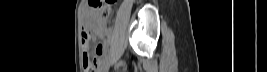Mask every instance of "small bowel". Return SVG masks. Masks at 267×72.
<instances>
[{
	"instance_id": "1",
	"label": "small bowel",
	"mask_w": 267,
	"mask_h": 72,
	"mask_svg": "<svg viewBox=\"0 0 267 72\" xmlns=\"http://www.w3.org/2000/svg\"><path fill=\"white\" fill-rule=\"evenodd\" d=\"M96 33L99 37L101 38H107L109 36V29L106 25L101 24L100 26H98L96 28ZM90 43V39H89V35H88V31L85 30L82 36V48H85L87 45H89ZM105 53V46L104 45H100L98 47V52H97V64L96 67L98 66L99 69H94L93 72H101V68H102V60L101 58L103 57ZM83 62H84V58H83Z\"/></svg>"
}]
</instances>
